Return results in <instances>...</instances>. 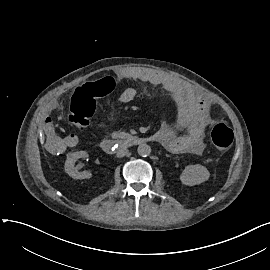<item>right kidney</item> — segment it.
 <instances>
[{"label":"right kidney","mask_w":270,"mask_h":270,"mask_svg":"<svg viewBox=\"0 0 270 270\" xmlns=\"http://www.w3.org/2000/svg\"><path fill=\"white\" fill-rule=\"evenodd\" d=\"M88 153L86 151H78L67 154L65 162V172L68 173L73 179H85L90 178L92 174L89 171L78 172L77 168L74 167L75 161L79 158H87Z\"/></svg>","instance_id":"ca27d5eb"}]
</instances>
